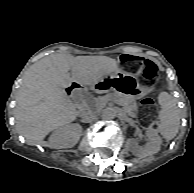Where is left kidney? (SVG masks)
<instances>
[{
    "mask_svg": "<svg viewBox=\"0 0 194 193\" xmlns=\"http://www.w3.org/2000/svg\"><path fill=\"white\" fill-rule=\"evenodd\" d=\"M146 135L149 138V142L144 147H140L134 139L128 141L130 150L135 156L145 157L153 155L160 150L162 140L157 131L154 129H148Z\"/></svg>",
    "mask_w": 194,
    "mask_h": 193,
    "instance_id": "1",
    "label": "left kidney"
}]
</instances>
